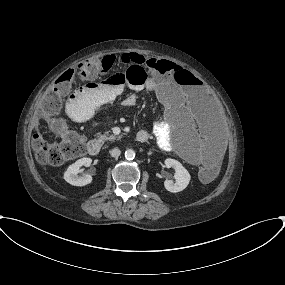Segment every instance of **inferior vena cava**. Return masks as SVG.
Masks as SVG:
<instances>
[{
  "label": "inferior vena cava",
  "mask_w": 285,
  "mask_h": 285,
  "mask_svg": "<svg viewBox=\"0 0 285 285\" xmlns=\"http://www.w3.org/2000/svg\"><path fill=\"white\" fill-rule=\"evenodd\" d=\"M120 154H121V151L118 148H114L110 151V155L115 158L119 157Z\"/></svg>",
  "instance_id": "1"
}]
</instances>
